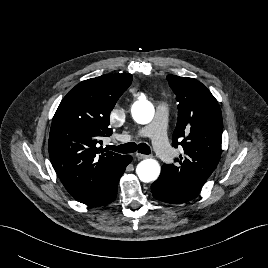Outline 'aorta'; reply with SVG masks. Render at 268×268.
Returning <instances> with one entry per match:
<instances>
[{"label": "aorta", "instance_id": "762f6f07", "mask_svg": "<svg viewBox=\"0 0 268 268\" xmlns=\"http://www.w3.org/2000/svg\"><path fill=\"white\" fill-rule=\"evenodd\" d=\"M154 113L155 110L152 103L147 100L137 101L131 108L132 117L139 124L150 123ZM136 173L142 182H153L159 177L160 165L154 159H146L137 165Z\"/></svg>", "mask_w": 268, "mask_h": 268}]
</instances>
